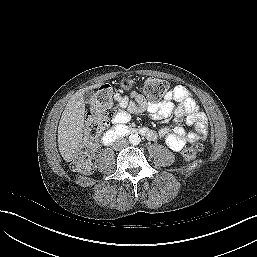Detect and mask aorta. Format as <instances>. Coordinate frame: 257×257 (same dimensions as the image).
Listing matches in <instances>:
<instances>
[{
  "label": "aorta",
  "mask_w": 257,
  "mask_h": 257,
  "mask_svg": "<svg viewBox=\"0 0 257 257\" xmlns=\"http://www.w3.org/2000/svg\"><path fill=\"white\" fill-rule=\"evenodd\" d=\"M141 141V138L138 134H131L129 136V142L133 145H138Z\"/></svg>",
  "instance_id": "1"
}]
</instances>
